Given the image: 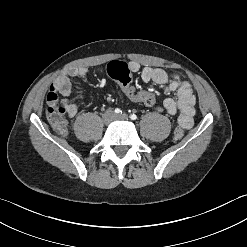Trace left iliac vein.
<instances>
[{"label": "left iliac vein", "instance_id": "4c4485c4", "mask_svg": "<svg viewBox=\"0 0 247 247\" xmlns=\"http://www.w3.org/2000/svg\"><path fill=\"white\" fill-rule=\"evenodd\" d=\"M116 119H119V120H127L128 119V116L126 114H122V115L116 116Z\"/></svg>", "mask_w": 247, "mask_h": 247}]
</instances>
